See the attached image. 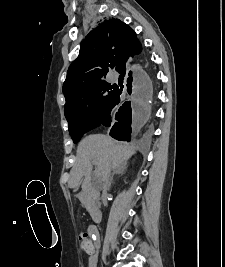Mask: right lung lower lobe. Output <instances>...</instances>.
Listing matches in <instances>:
<instances>
[{
	"instance_id": "98d812e1",
	"label": "right lung lower lobe",
	"mask_w": 225,
	"mask_h": 267,
	"mask_svg": "<svg viewBox=\"0 0 225 267\" xmlns=\"http://www.w3.org/2000/svg\"><path fill=\"white\" fill-rule=\"evenodd\" d=\"M142 48H141V43L139 42L134 49L127 55L123 68L119 71L120 74L125 75L128 74L129 77L127 79V91L128 93H132V72L130 71L131 69V59L128 60L130 57H133L134 55L140 54ZM144 84L145 87L142 89L140 88V86L138 85L137 81L134 80V85H133V94L142 98L143 100L146 99L147 97V89L150 87V80L148 77L144 78ZM122 93V89L119 88L117 86V92L113 98V101L108 109V111L105 113V115L103 116V119L101 121L100 125H104L106 127H110L112 126L110 135L118 140H130L131 137V128H130V118L128 119V122L123 123L122 124V119H120L118 117V113H116V119L119 120V122L115 123L113 125V120H114V115H113V111L118 107V105L120 104L121 100H120V95ZM125 104V103H124ZM123 104V105H124ZM122 107V106H121ZM121 107L119 108V111L121 109Z\"/></svg>"
}]
</instances>
